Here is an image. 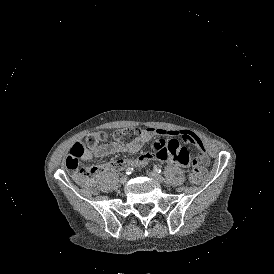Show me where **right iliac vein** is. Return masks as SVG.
Listing matches in <instances>:
<instances>
[{
	"instance_id": "1",
	"label": "right iliac vein",
	"mask_w": 274,
	"mask_h": 274,
	"mask_svg": "<svg viewBox=\"0 0 274 274\" xmlns=\"http://www.w3.org/2000/svg\"><path fill=\"white\" fill-rule=\"evenodd\" d=\"M127 181H128V177L126 175H124L120 178V183L121 184H125Z\"/></svg>"
}]
</instances>
